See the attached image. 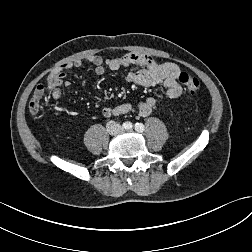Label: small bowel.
Listing matches in <instances>:
<instances>
[{
	"label": "small bowel",
	"instance_id": "small-bowel-1",
	"mask_svg": "<svg viewBox=\"0 0 252 252\" xmlns=\"http://www.w3.org/2000/svg\"><path fill=\"white\" fill-rule=\"evenodd\" d=\"M83 62L93 65L94 72L97 75L104 74L106 67L114 71L121 68L136 67V71H130L126 74L125 80L127 82L145 87L163 85L166 88L167 96L171 99L179 97L182 93V87L178 83L180 69L175 63H159L148 55L137 53H126L111 59H103L99 55H88L83 59H76L65 64L58 71L48 75L47 88L54 100L61 98V86L70 87L71 85L69 81H64L65 71L71 67H80ZM86 83L87 79H83L81 84L84 87ZM155 103L153 97H147L136 105V109L141 116L146 117L152 113ZM133 109L132 104L124 103L114 107H106L102 113L105 117L119 116L129 113Z\"/></svg>",
	"mask_w": 252,
	"mask_h": 252
}]
</instances>
